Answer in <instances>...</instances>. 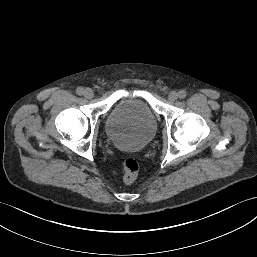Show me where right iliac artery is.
<instances>
[{"label":"right iliac artery","instance_id":"82829eb1","mask_svg":"<svg viewBox=\"0 0 257 257\" xmlns=\"http://www.w3.org/2000/svg\"><path fill=\"white\" fill-rule=\"evenodd\" d=\"M76 93H77L78 95H83L84 89L81 88V87H79V88H77Z\"/></svg>","mask_w":257,"mask_h":257}]
</instances>
